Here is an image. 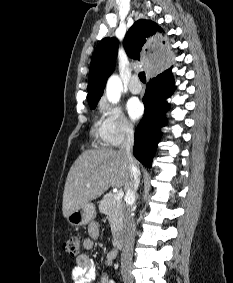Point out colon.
Here are the masks:
<instances>
[{
    "instance_id": "5ec220e1",
    "label": "colon",
    "mask_w": 233,
    "mask_h": 283,
    "mask_svg": "<svg viewBox=\"0 0 233 283\" xmlns=\"http://www.w3.org/2000/svg\"><path fill=\"white\" fill-rule=\"evenodd\" d=\"M61 247L62 250L68 254L77 256L80 254L81 250V238L77 235L71 236L62 242Z\"/></svg>"
}]
</instances>
